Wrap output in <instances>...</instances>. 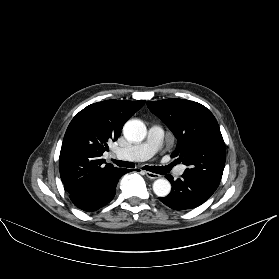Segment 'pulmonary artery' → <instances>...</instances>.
<instances>
[{"label": "pulmonary artery", "mask_w": 279, "mask_h": 279, "mask_svg": "<svg viewBox=\"0 0 279 279\" xmlns=\"http://www.w3.org/2000/svg\"><path fill=\"white\" fill-rule=\"evenodd\" d=\"M163 129L158 125L149 128L147 138L144 142L127 149L118 148L116 154L136 161H145L151 158L159 149L163 139ZM185 171V166L181 165L176 169V175L181 176Z\"/></svg>", "instance_id": "obj_1"}]
</instances>
